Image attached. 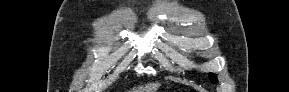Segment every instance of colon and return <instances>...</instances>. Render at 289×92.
<instances>
[{"mask_svg": "<svg viewBox=\"0 0 289 92\" xmlns=\"http://www.w3.org/2000/svg\"><path fill=\"white\" fill-rule=\"evenodd\" d=\"M190 92H195V90H194V89H191Z\"/></svg>", "mask_w": 289, "mask_h": 92, "instance_id": "obj_1", "label": "colon"}]
</instances>
